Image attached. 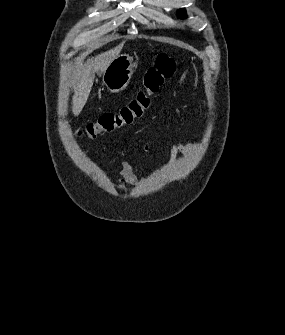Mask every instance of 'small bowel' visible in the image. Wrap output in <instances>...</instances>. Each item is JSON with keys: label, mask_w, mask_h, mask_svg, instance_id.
Wrapping results in <instances>:
<instances>
[{"label": "small bowel", "mask_w": 285, "mask_h": 335, "mask_svg": "<svg viewBox=\"0 0 285 335\" xmlns=\"http://www.w3.org/2000/svg\"><path fill=\"white\" fill-rule=\"evenodd\" d=\"M194 147L195 145L191 142H183L173 145L169 150V158H174L178 153L191 155ZM142 148L148 151L150 149V144L145 143ZM120 174L122 177L120 185L122 187L137 186L141 181L139 174L125 161L120 162Z\"/></svg>", "instance_id": "obj_1"}]
</instances>
